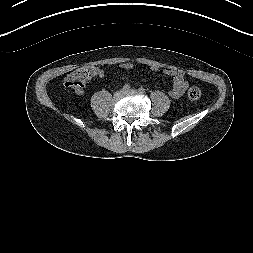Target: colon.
<instances>
[{
	"label": "colon",
	"mask_w": 253,
	"mask_h": 253,
	"mask_svg": "<svg viewBox=\"0 0 253 253\" xmlns=\"http://www.w3.org/2000/svg\"><path fill=\"white\" fill-rule=\"evenodd\" d=\"M92 68L82 67L72 72L66 79L65 85L75 91L84 90L87 82L92 77ZM201 90L193 86L188 90V97L191 100H198L201 97Z\"/></svg>",
	"instance_id": "obj_1"
}]
</instances>
